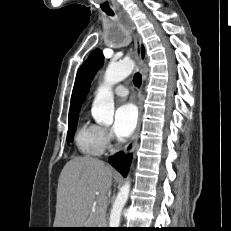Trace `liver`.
<instances>
[{
  "label": "liver",
  "mask_w": 231,
  "mask_h": 231,
  "mask_svg": "<svg viewBox=\"0 0 231 231\" xmlns=\"http://www.w3.org/2000/svg\"><path fill=\"white\" fill-rule=\"evenodd\" d=\"M114 172L99 159L74 157L62 169L57 188L54 228H83L90 224L98 192L105 197Z\"/></svg>",
  "instance_id": "6515ba94"
}]
</instances>
